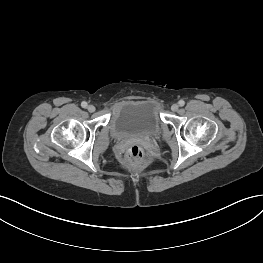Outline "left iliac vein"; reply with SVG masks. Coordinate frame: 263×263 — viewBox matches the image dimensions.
I'll return each mask as SVG.
<instances>
[{
	"label": "left iliac vein",
	"instance_id": "obj_1",
	"mask_svg": "<svg viewBox=\"0 0 263 263\" xmlns=\"http://www.w3.org/2000/svg\"><path fill=\"white\" fill-rule=\"evenodd\" d=\"M178 109H179V105L178 104H173L171 106V110L174 111V112H176Z\"/></svg>",
	"mask_w": 263,
	"mask_h": 263
}]
</instances>
